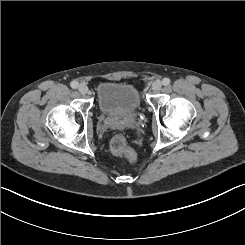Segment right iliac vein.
I'll use <instances>...</instances> for the list:
<instances>
[{
	"mask_svg": "<svg viewBox=\"0 0 245 245\" xmlns=\"http://www.w3.org/2000/svg\"><path fill=\"white\" fill-rule=\"evenodd\" d=\"M78 91L81 93V94H86L88 92V87L87 85L85 84H80L79 87H78Z\"/></svg>",
	"mask_w": 245,
	"mask_h": 245,
	"instance_id": "right-iliac-vein-1",
	"label": "right iliac vein"
}]
</instances>
